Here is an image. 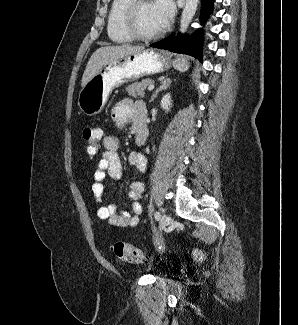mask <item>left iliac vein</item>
<instances>
[{
    "mask_svg": "<svg viewBox=\"0 0 298 325\" xmlns=\"http://www.w3.org/2000/svg\"><path fill=\"white\" fill-rule=\"evenodd\" d=\"M169 217L166 214H163L160 218V230H164L169 225Z\"/></svg>",
    "mask_w": 298,
    "mask_h": 325,
    "instance_id": "4c4485c4",
    "label": "left iliac vein"
}]
</instances>
